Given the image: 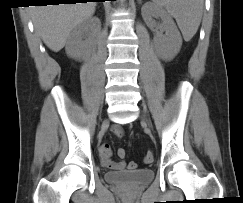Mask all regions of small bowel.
<instances>
[{
    "mask_svg": "<svg viewBox=\"0 0 243 203\" xmlns=\"http://www.w3.org/2000/svg\"><path fill=\"white\" fill-rule=\"evenodd\" d=\"M112 132L118 137H121L123 134L121 127L118 125L112 127ZM119 150H118V156L120 158H124V156L119 154ZM99 153H100L101 164L103 167L114 169V170H123L125 168L124 161L113 162L111 160L112 150L108 143L101 144L99 148Z\"/></svg>",
    "mask_w": 243,
    "mask_h": 203,
    "instance_id": "1",
    "label": "small bowel"
}]
</instances>
